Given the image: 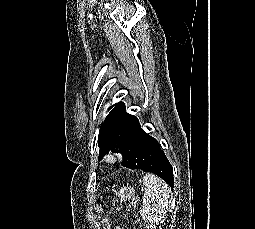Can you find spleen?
<instances>
[{"instance_id": "1", "label": "spleen", "mask_w": 255, "mask_h": 229, "mask_svg": "<svg viewBox=\"0 0 255 229\" xmlns=\"http://www.w3.org/2000/svg\"><path fill=\"white\" fill-rule=\"evenodd\" d=\"M144 194L140 215L146 222H162L169 206L170 190L158 176L146 174L143 177Z\"/></svg>"}]
</instances>
